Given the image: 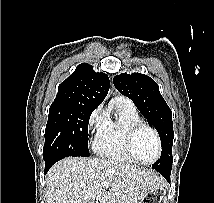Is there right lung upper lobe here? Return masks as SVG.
<instances>
[{
  "label": "right lung upper lobe",
  "mask_w": 214,
  "mask_h": 203,
  "mask_svg": "<svg viewBox=\"0 0 214 203\" xmlns=\"http://www.w3.org/2000/svg\"><path fill=\"white\" fill-rule=\"evenodd\" d=\"M110 81L102 72H95L88 63L76 70L58 87L54 103H78L99 106L106 97Z\"/></svg>",
  "instance_id": "right-lung-upper-lobe-1"
}]
</instances>
